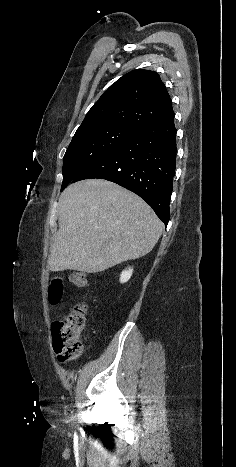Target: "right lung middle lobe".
Listing matches in <instances>:
<instances>
[{
    "label": "right lung middle lobe",
    "mask_w": 236,
    "mask_h": 467,
    "mask_svg": "<svg viewBox=\"0 0 236 467\" xmlns=\"http://www.w3.org/2000/svg\"><path fill=\"white\" fill-rule=\"evenodd\" d=\"M136 132L126 126L104 125L75 133L63 158L61 191L89 166Z\"/></svg>",
    "instance_id": "obj_1"
}]
</instances>
